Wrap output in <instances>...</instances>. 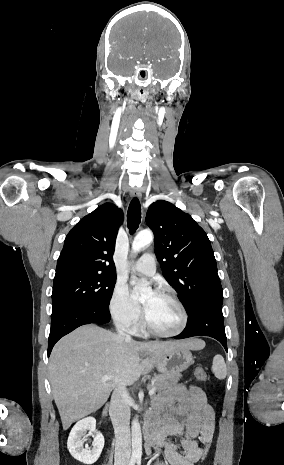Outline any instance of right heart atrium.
<instances>
[{
  "label": "right heart atrium",
  "mask_w": 284,
  "mask_h": 465,
  "mask_svg": "<svg viewBox=\"0 0 284 465\" xmlns=\"http://www.w3.org/2000/svg\"><path fill=\"white\" fill-rule=\"evenodd\" d=\"M108 312L114 323L124 330L135 328L140 321V312L130 302L122 285H116L113 289L108 301Z\"/></svg>",
  "instance_id": "obj_1"
}]
</instances>
